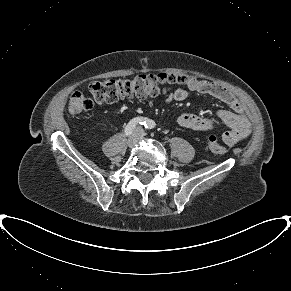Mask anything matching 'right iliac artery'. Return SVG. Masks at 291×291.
I'll list each match as a JSON object with an SVG mask.
<instances>
[{
  "mask_svg": "<svg viewBox=\"0 0 291 291\" xmlns=\"http://www.w3.org/2000/svg\"><path fill=\"white\" fill-rule=\"evenodd\" d=\"M147 119L143 117H136L133 118L125 127V134L127 136L131 135L135 127L140 124V125H145L147 123Z\"/></svg>",
  "mask_w": 291,
  "mask_h": 291,
  "instance_id": "right-iliac-artery-1",
  "label": "right iliac artery"
}]
</instances>
